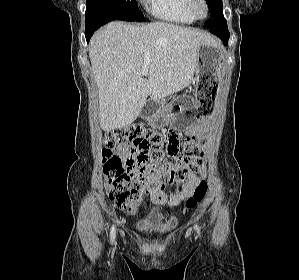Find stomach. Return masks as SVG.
Returning <instances> with one entry per match:
<instances>
[{
  "label": "stomach",
  "mask_w": 299,
  "mask_h": 280,
  "mask_svg": "<svg viewBox=\"0 0 299 280\" xmlns=\"http://www.w3.org/2000/svg\"><path fill=\"white\" fill-rule=\"evenodd\" d=\"M223 60L224 55L218 45H201L193 77L194 96L183 95L171 102L149 103L141 110V116L155 128L173 125L183 130L190 128L199 118L210 116L219 100Z\"/></svg>",
  "instance_id": "1"
}]
</instances>
